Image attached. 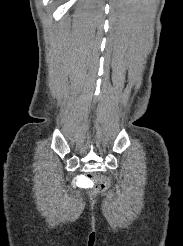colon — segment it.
<instances>
[{
  "instance_id": "colon-1",
  "label": "colon",
  "mask_w": 183,
  "mask_h": 246,
  "mask_svg": "<svg viewBox=\"0 0 183 246\" xmlns=\"http://www.w3.org/2000/svg\"><path fill=\"white\" fill-rule=\"evenodd\" d=\"M88 185L92 188L93 194H98L106 189L108 180L104 177H95L92 170L88 171Z\"/></svg>"
}]
</instances>
